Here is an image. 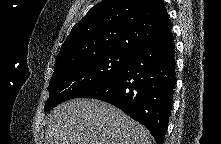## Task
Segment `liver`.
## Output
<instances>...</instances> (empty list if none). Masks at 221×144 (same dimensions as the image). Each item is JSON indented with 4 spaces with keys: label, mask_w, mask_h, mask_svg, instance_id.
Wrapping results in <instances>:
<instances>
[{
    "label": "liver",
    "mask_w": 221,
    "mask_h": 144,
    "mask_svg": "<svg viewBox=\"0 0 221 144\" xmlns=\"http://www.w3.org/2000/svg\"><path fill=\"white\" fill-rule=\"evenodd\" d=\"M46 144H152L150 132L117 107L96 99L61 103L48 116Z\"/></svg>",
    "instance_id": "obj_1"
}]
</instances>
